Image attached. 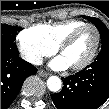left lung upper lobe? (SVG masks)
Instances as JSON below:
<instances>
[{"label":"left lung upper lobe","instance_id":"obj_1","mask_svg":"<svg viewBox=\"0 0 109 109\" xmlns=\"http://www.w3.org/2000/svg\"><path fill=\"white\" fill-rule=\"evenodd\" d=\"M87 20L91 21L99 30L101 39H102V48L109 47V30L108 28L104 25V23L99 20L98 18H92L89 16H84Z\"/></svg>","mask_w":109,"mask_h":109}]
</instances>
